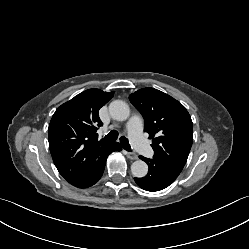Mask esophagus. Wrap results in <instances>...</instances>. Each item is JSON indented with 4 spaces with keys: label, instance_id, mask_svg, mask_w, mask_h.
Segmentation results:
<instances>
[{
    "label": "esophagus",
    "instance_id": "obj_1",
    "mask_svg": "<svg viewBox=\"0 0 249 249\" xmlns=\"http://www.w3.org/2000/svg\"><path fill=\"white\" fill-rule=\"evenodd\" d=\"M125 155H126L129 159H131V160H136V159H138L137 154H135V153H133V152H125Z\"/></svg>",
    "mask_w": 249,
    "mask_h": 249
}]
</instances>
